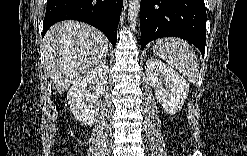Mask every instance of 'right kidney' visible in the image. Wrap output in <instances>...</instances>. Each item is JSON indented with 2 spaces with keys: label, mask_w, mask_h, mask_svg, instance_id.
Masks as SVG:
<instances>
[{
  "label": "right kidney",
  "mask_w": 247,
  "mask_h": 156,
  "mask_svg": "<svg viewBox=\"0 0 247 156\" xmlns=\"http://www.w3.org/2000/svg\"><path fill=\"white\" fill-rule=\"evenodd\" d=\"M109 73L108 65L101 64L77 79L67 93L70 109L82 125H92L98 115L96 102L104 93ZM93 90V93H90Z\"/></svg>",
  "instance_id": "obj_1"
}]
</instances>
